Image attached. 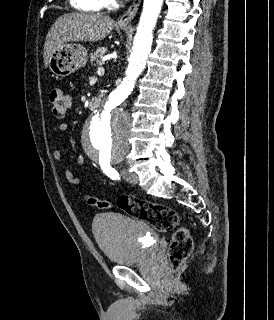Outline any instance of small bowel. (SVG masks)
<instances>
[{"instance_id":"small-bowel-1","label":"small bowel","mask_w":274,"mask_h":320,"mask_svg":"<svg viewBox=\"0 0 274 320\" xmlns=\"http://www.w3.org/2000/svg\"><path fill=\"white\" fill-rule=\"evenodd\" d=\"M68 130V124L67 123H60L59 126H58V132L59 133H65L66 131ZM53 158L56 160V161H62L63 160V154L60 150H55L53 152ZM77 163L80 167L84 168L86 163H85V157L80 154L78 155L77 157ZM64 176H65V179L67 181V183L71 186H77L79 184H81L85 178L83 177H79V176H76L71 168L68 166V165H64Z\"/></svg>"}]
</instances>
